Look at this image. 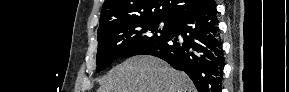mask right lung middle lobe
I'll return each instance as SVG.
<instances>
[{"label":"right lung middle lobe","mask_w":289,"mask_h":92,"mask_svg":"<svg viewBox=\"0 0 289 92\" xmlns=\"http://www.w3.org/2000/svg\"><path fill=\"white\" fill-rule=\"evenodd\" d=\"M161 21L163 29L159 28ZM171 31V21L157 18L122 21L99 31L96 71L104 70L118 58L137 55L168 37Z\"/></svg>","instance_id":"1"}]
</instances>
